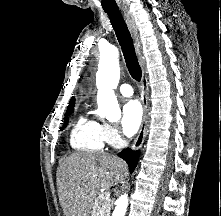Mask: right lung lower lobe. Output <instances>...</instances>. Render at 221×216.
<instances>
[{"mask_svg": "<svg viewBox=\"0 0 221 216\" xmlns=\"http://www.w3.org/2000/svg\"><path fill=\"white\" fill-rule=\"evenodd\" d=\"M118 156L125 160L129 166L130 173H132L137 166L138 159H139V150L132 151L131 149H124Z\"/></svg>", "mask_w": 221, "mask_h": 216, "instance_id": "98d812e1", "label": "right lung lower lobe"}]
</instances>
